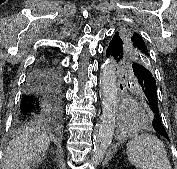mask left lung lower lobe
<instances>
[{
    "instance_id": "0a47b994",
    "label": "left lung lower lobe",
    "mask_w": 177,
    "mask_h": 169,
    "mask_svg": "<svg viewBox=\"0 0 177 169\" xmlns=\"http://www.w3.org/2000/svg\"><path fill=\"white\" fill-rule=\"evenodd\" d=\"M118 54L119 50L117 46L110 42L108 49L106 51V55L110 58L112 62L115 61L118 63L119 59ZM123 63L121 64L118 63L119 68H122V66L126 65V63L125 64ZM127 65L129 66V68L133 72V75L135 76V83L137 87L145 94L147 98V104L149 105V108L154 116V119L152 121L153 129L158 134L162 135L167 140H169L168 134L162 123V119L158 108L157 87L155 78L153 77L151 71L146 66L139 62L136 61L128 62Z\"/></svg>"
}]
</instances>
